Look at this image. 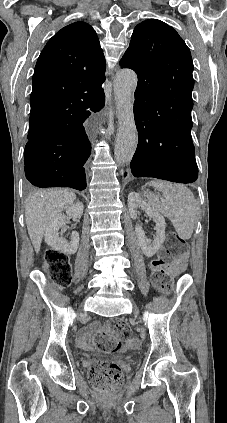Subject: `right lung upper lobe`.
I'll use <instances>...</instances> for the list:
<instances>
[{
	"instance_id": "obj_1",
	"label": "right lung upper lobe",
	"mask_w": 227,
	"mask_h": 423,
	"mask_svg": "<svg viewBox=\"0 0 227 423\" xmlns=\"http://www.w3.org/2000/svg\"><path fill=\"white\" fill-rule=\"evenodd\" d=\"M106 63L94 29L72 23L58 31L42 50L32 78L30 103H69L83 98L104 101ZM60 119L30 121L29 141L66 128Z\"/></svg>"
}]
</instances>
